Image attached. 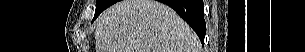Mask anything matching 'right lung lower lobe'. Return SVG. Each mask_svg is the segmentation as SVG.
I'll list each match as a JSON object with an SVG mask.
<instances>
[{
  "instance_id": "1",
  "label": "right lung lower lobe",
  "mask_w": 305,
  "mask_h": 52,
  "mask_svg": "<svg viewBox=\"0 0 305 52\" xmlns=\"http://www.w3.org/2000/svg\"><path fill=\"white\" fill-rule=\"evenodd\" d=\"M118 0H110L98 15ZM173 8L196 32L201 42H204L206 24L203 13V0H159ZM96 16V18L98 17ZM95 20V19H93Z\"/></svg>"
}]
</instances>
